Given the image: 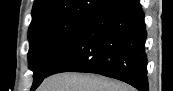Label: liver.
I'll use <instances>...</instances> for the list:
<instances>
[{
	"mask_svg": "<svg viewBox=\"0 0 173 91\" xmlns=\"http://www.w3.org/2000/svg\"><path fill=\"white\" fill-rule=\"evenodd\" d=\"M37 91H135L126 83L102 75L58 73L44 79Z\"/></svg>",
	"mask_w": 173,
	"mask_h": 91,
	"instance_id": "6515ba94",
	"label": "liver"
}]
</instances>
